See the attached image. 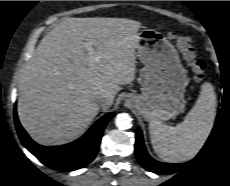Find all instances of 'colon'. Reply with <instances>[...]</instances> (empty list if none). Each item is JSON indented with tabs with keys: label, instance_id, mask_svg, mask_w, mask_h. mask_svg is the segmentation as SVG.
Instances as JSON below:
<instances>
[{
	"label": "colon",
	"instance_id": "obj_1",
	"mask_svg": "<svg viewBox=\"0 0 230 186\" xmlns=\"http://www.w3.org/2000/svg\"><path fill=\"white\" fill-rule=\"evenodd\" d=\"M170 38L175 41L182 57L191 68L194 79L198 82L204 80L208 73V64L197 54L191 40L188 37L175 34H170Z\"/></svg>",
	"mask_w": 230,
	"mask_h": 186
}]
</instances>
